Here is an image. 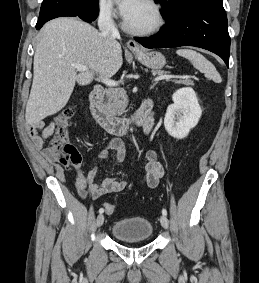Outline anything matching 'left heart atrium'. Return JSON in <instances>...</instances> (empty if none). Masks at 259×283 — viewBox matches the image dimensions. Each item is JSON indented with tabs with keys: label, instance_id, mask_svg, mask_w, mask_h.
I'll return each mask as SVG.
<instances>
[{
	"label": "left heart atrium",
	"instance_id": "39dd6f15",
	"mask_svg": "<svg viewBox=\"0 0 259 283\" xmlns=\"http://www.w3.org/2000/svg\"><path fill=\"white\" fill-rule=\"evenodd\" d=\"M139 1L140 0H115L124 19L135 10Z\"/></svg>",
	"mask_w": 259,
	"mask_h": 283
}]
</instances>
